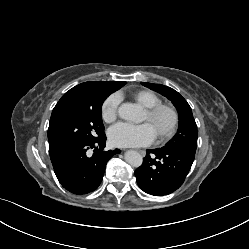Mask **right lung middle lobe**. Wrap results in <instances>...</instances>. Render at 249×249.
Instances as JSON below:
<instances>
[{
    "label": "right lung middle lobe",
    "mask_w": 249,
    "mask_h": 249,
    "mask_svg": "<svg viewBox=\"0 0 249 249\" xmlns=\"http://www.w3.org/2000/svg\"><path fill=\"white\" fill-rule=\"evenodd\" d=\"M111 92H88L81 103L60 112L50 123L48 140L50 150L59 151L70 145L97 140L104 135L101 106Z\"/></svg>",
    "instance_id": "dd1d6c3e"
}]
</instances>
